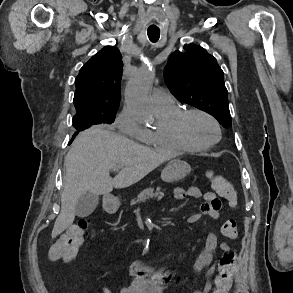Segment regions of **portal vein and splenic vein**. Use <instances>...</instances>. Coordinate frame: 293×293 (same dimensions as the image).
<instances>
[{"instance_id":"portal-vein-and-splenic-vein-1","label":"portal vein and splenic vein","mask_w":293,"mask_h":293,"mask_svg":"<svg viewBox=\"0 0 293 293\" xmlns=\"http://www.w3.org/2000/svg\"><path fill=\"white\" fill-rule=\"evenodd\" d=\"M120 169H121L120 166H116V167L113 168V171H119Z\"/></svg>"}]
</instances>
